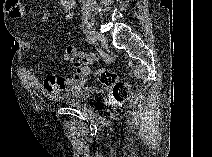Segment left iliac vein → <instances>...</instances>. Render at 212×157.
<instances>
[{
  "label": "left iliac vein",
  "instance_id": "obj_1",
  "mask_svg": "<svg viewBox=\"0 0 212 157\" xmlns=\"http://www.w3.org/2000/svg\"><path fill=\"white\" fill-rule=\"evenodd\" d=\"M94 36H95L96 40H98L101 43V45L103 47H107V45H108L107 38L103 34H101L99 32H94Z\"/></svg>",
  "mask_w": 212,
  "mask_h": 157
}]
</instances>
